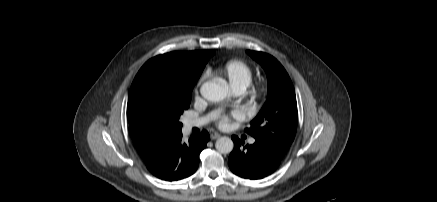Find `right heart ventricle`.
Wrapping results in <instances>:
<instances>
[{"mask_svg": "<svg viewBox=\"0 0 437 202\" xmlns=\"http://www.w3.org/2000/svg\"><path fill=\"white\" fill-rule=\"evenodd\" d=\"M218 72L228 79L234 90H245L250 85L253 78L251 67L240 59L227 61L218 69Z\"/></svg>", "mask_w": 437, "mask_h": 202, "instance_id": "obj_1", "label": "right heart ventricle"}]
</instances>
